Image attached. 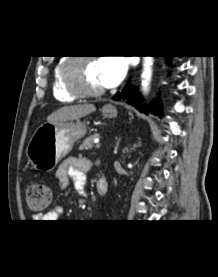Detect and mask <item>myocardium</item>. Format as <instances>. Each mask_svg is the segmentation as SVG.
<instances>
[{
  "instance_id": "f54148a6",
  "label": "myocardium",
  "mask_w": 218,
  "mask_h": 277,
  "mask_svg": "<svg viewBox=\"0 0 218 277\" xmlns=\"http://www.w3.org/2000/svg\"><path fill=\"white\" fill-rule=\"evenodd\" d=\"M93 60L92 57L68 58L61 65V78L64 89L76 98H90L102 95L104 88L87 90L82 84L83 66Z\"/></svg>"
}]
</instances>
